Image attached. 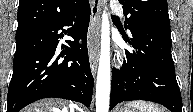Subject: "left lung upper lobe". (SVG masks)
I'll return each mask as SVG.
<instances>
[{
    "label": "left lung upper lobe",
    "instance_id": "left-lung-upper-lobe-1",
    "mask_svg": "<svg viewBox=\"0 0 193 112\" xmlns=\"http://www.w3.org/2000/svg\"><path fill=\"white\" fill-rule=\"evenodd\" d=\"M123 4L125 24L129 30L157 21H170L167 0H119Z\"/></svg>",
    "mask_w": 193,
    "mask_h": 112
}]
</instances>
